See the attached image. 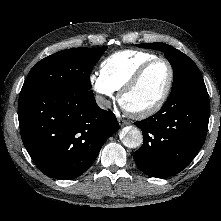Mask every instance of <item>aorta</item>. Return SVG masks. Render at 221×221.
Here are the masks:
<instances>
[{
	"label": "aorta",
	"instance_id": "762f6f07",
	"mask_svg": "<svg viewBox=\"0 0 221 221\" xmlns=\"http://www.w3.org/2000/svg\"><path fill=\"white\" fill-rule=\"evenodd\" d=\"M121 140L124 146L128 148H137L141 146L143 142V135L140 129L130 126L123 129Z\"/></svg>",
	"mask_w": 221,
	"mask_h": 221
}]
</instances>
